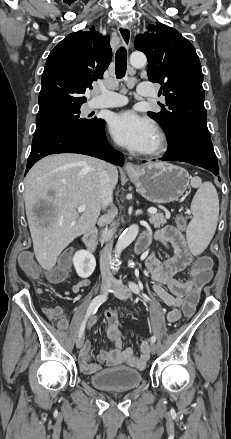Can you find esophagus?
Returning a JSON list of instances; mask_svg holds the SVG:
<instances>
[{
  "label": "esophagus",
  "instance_id": "34e87169",
  "mask_svg": "<svg viewBox=\"0 0 231 439\" xmlns=\"http://www.w3.org/2000/svg\"><path fill=\"white\" fill-rule=\"evenodd\" d=\"M118 33H119V36L123 42V45L126 48H129L130 44H131V29H130V27L125 25V24H120L118 26ZM125 171L126 172H134V171H136V167L131 162H127L125 164Z\"/></svg>",
  "mask_w": 231,
  "mask_h": 439
}]
</instances>
